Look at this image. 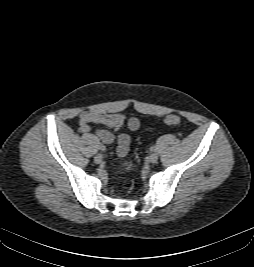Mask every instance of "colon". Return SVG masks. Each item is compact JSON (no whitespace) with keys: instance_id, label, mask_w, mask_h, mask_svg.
Masks as SVG:
<instances>
[{"instance_id":"5ec220e1","label":"colon","mask_w":254,"mask_h":267,"mask_svg":"<svg viewBox=\"0 0 254 267\" xmlns=\"http://www.w3.org/2000/svg\"><path fill=\"white\" fill-rule=\"evenodd\" d=\"M179 121H180V118L177 115H174V114L168 115L164 119L165 124L170 125V126L178 124Z\"/></svg>"}]
</instances>
